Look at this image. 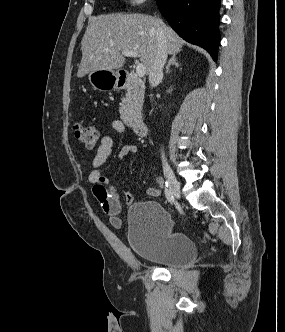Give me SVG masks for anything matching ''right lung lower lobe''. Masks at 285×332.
Wrapping results in <instances>:
<instances>
[{"label":"right lung lower lobe","mask_w":285,"mask_h":332,"mask_svg":"<svg viewBox=\"0 0 285 332\" xmlns=\"http://www.w3.org/2000/svg\"><path fill=\"white\" fill-rule=\"evenodd\" d=\"M161 14L186 41L205 48L216 61L220 0H156Z\"/></svg>","instance_id":"obj_1"}]
</instances>
